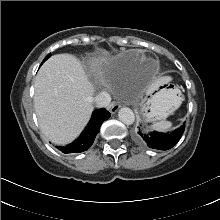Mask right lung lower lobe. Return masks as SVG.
<instances>
[{"label": "right lung lower lobe", "instance_id": "1", "mask_svg": "<svg viewBox=\"0 0 220 220\" xmlns=\"http://www.w3.org/2000/svg\"><path fill=\"white\" fill-rule=\"evenodd\" d=\"M110 116L111 114L104 108L95 110L91 120L81 135L71 144L63 147L60 146L58 149L63 153H79L86 151L93 144L97 133H99L101 124Z\"/></svg>", "mask_w": 220, "mask_h": 220}]
</instances>
